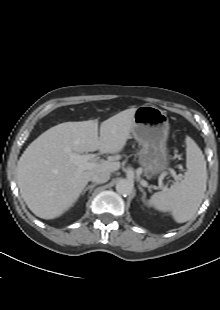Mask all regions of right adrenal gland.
<instances>
[{"label":"right adrenal gland","mask_w":220,"mask_h":310,"mask_svg":"<svg viewBox=\"0 0 220 310\" xmlns=\"http://www.w3.org/2000/svg\"><path fill=\"white\" fill-rule=\"evenodd\" d=\"M97 186V184L95 183V184H92V185H89V186H87L83 191H82V195H84L85 194V192L86 191H88L89 190V194L92 192V190H93V188L94 187H96Z\"/></svg>","instance_id":"1"}]
</instances>
